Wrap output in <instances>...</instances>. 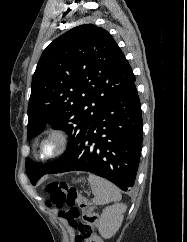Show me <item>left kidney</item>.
Here are the masks:
<instances>
[{
  "instance_id": "5707ae66",
  "label": "left kidney",
  "mask_w": 187,
  "mask_h": 242,
  "mask_svg": "<svg viewBox=\"0 0 187 242\" xmlns=\"http://www.w3.org/2000/svg\"><path fill=\"white\" fill-rule=\"evenodd\" d=\"M126 208L124 204H116L108 206L103 210L98 227L99 233L103 238H111L119 230Z\"/></svg>"
}]
</instances>
